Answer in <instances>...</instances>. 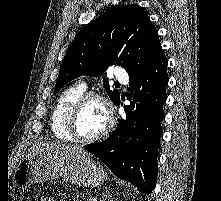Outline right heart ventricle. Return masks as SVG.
Listing matches in <instances>:
<instances>
[{"instance_id": "right-heart-ventricle-1", "label": "right heart ventricle", "mask_w": 221, "mask_h": 201, "mask_svg": "<svg viewBox=\"0 0 221 201\" xmlns=\"http://www.w3.org/2000/svg\"><path fill=\"white\" fill-rule=\"evenodd\" d=\"M85 93V87L74 85L66 89L57 99L51 114V129L56 138L73 141L67 129V120L74 103Z\"/></svg>"}]
</instances>
